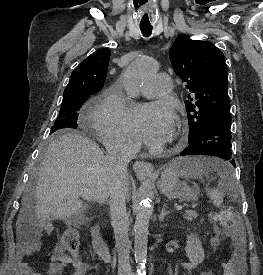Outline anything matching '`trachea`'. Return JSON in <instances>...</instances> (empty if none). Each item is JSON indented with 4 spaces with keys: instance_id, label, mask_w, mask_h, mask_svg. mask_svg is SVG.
Wrapping results in <instances>:
<instances>
[{
    "instance_id": "obj_1",
    "label": "trachea",
    "mask_w": 263,
    "mask_h": 275,
    "mask_svg": "<svg viewBox=\"0 0 263 275\" xmlns=\"http://www.w3.org/2000/svg\"><path fill=\"white\" fill-rule=\"evenodd\" d=\"M153 27H140L144 37H149L152 34Z\"/></svg>"
}]
</instances>
